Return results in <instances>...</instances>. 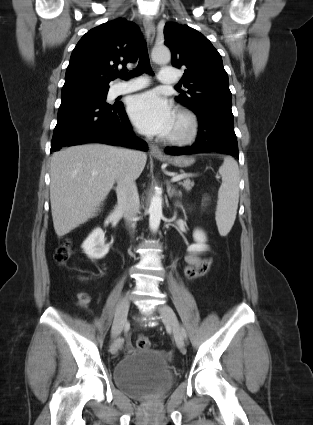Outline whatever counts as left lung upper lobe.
Segmentation results:
<instances>
[{"label": "left lung upper lobe", "instance_id": "1", "mask_svg": "<svg viewBox=\"0 0 313 425\" xmlns=\"http://www.w3.org/2000/svg\"><path fill=\"white\" fill-rule=\"evenodd\" d=\"M164 35L165 45L172 52V65L185 68L180 83L188 91L175 99L194 112L205 108L231 110L228 75L211 42L188 25L174 22L166 23Z\"/></svg>", "mask_w": 313, "mask_h": 425}]
</instances>
